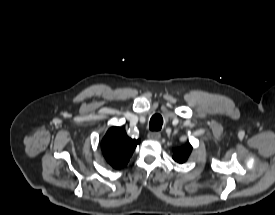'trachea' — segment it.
Listing matches in <instances>:
<instances>
[{
    "mask_svg": "<svg viewBox=\"0 0 275 215\" xmlns=\"http://www.w3.org/2000/svg\"><path fill=\"white\" fill-rule=\"evenodd\" d=\"M163 118L160 114H155L150 119V130L158 131L162 128Z\"/></svg>",
    "mask_w": 275,
    "mask_h": 215,
    "instance_id": "obj_1",
    "label": "trachea"
}]
</instances>
